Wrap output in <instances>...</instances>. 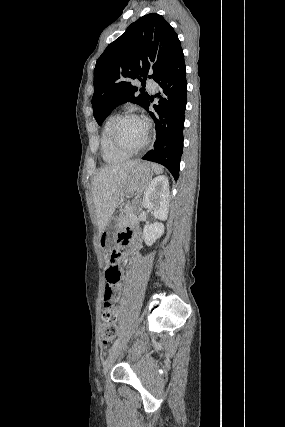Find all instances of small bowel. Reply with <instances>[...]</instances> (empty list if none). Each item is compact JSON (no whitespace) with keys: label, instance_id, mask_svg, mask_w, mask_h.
Returning <instances> with one entry per match:
<instances>
[{"label":"small bowel","instance_id":"1","mask_svg":"<svg viewBox=\"0 0 285 427\" xmlns=\"http://www.w3.org/2000/svg\"><path fill=\"white\" fill-rule=\"evenodd\" d=\"M128 237L121 239V244L129 245V247L137 254L138 249L140 248V233L138 228H134L133 230H127ZM121 295V287L120 285L112 287V292L110 296L104 294V301L110 299L114 303L119 302ZM123 310L122 307L118 308V312L120 313Z\"/></svg>","mask_w":285,"mask_h":427}]
</instances>
